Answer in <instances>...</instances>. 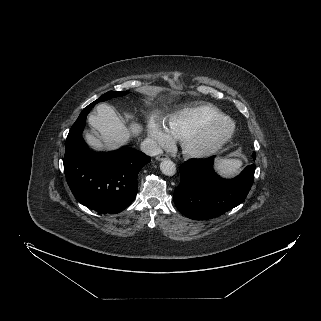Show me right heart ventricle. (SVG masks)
Wrapping results in <instances>:
<instances>
[{
    "mask_svg": "<svg viewBox=\"0 0 321 321\" xmlns=\"http://www.w3.org/2000/svg\"><path fill=\"white\" fill-rule=\"evenodd\" d=\"M224 116L216 106L200 104L175 110L166 118L164 126L172 137L182 140L199 126Z\"/></svg>",
    "mask_w": 321,
    "mask_h": 321,
    "instance_id": "e07e8e85",
    "label": "right heart ventricle"
}]
</instances>
